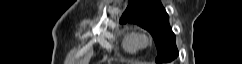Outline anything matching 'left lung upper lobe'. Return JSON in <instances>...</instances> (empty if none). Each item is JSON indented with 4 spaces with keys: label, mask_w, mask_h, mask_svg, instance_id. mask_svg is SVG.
I'll use <instances>...</instances> for the list:
<instances>
[{
    "label": "left lung upper lobe",
    "mask_w": 242,
    "mask_h": 64,
    "mask_svg": "<svg viewBox=\"0 0 242 64\" xmlns=\"http://www.w3.org/2000/svg\"><path fill=\"white\" fill-rule=\"evenodd\" d=\"M121 23H135L148 30L154 38L158 56L156 62H170L178 56L175 34L169 17L159 0H129Z\"/></svg>",
    "instance_id": "obj_1"
}]
</instances>
